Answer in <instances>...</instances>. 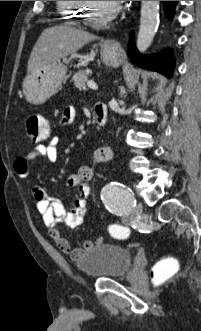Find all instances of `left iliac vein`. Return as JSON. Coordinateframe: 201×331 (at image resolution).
<instances>
[{"instance_id":"4c4485c4","label":"left iliac vein","mask_w":201,"mask_h":331,"mask_svg":"<svg viewBox=\"0 0 201 331\" xmlns=\"http://www.w3.org/2000/svg\"><path fill=\"white\" fill-rule=\"evenodd\" d=\"M142 211H143V206L141 203H138L133 210V214L137 217H140Z\"/></svg>"}]
</instances>
